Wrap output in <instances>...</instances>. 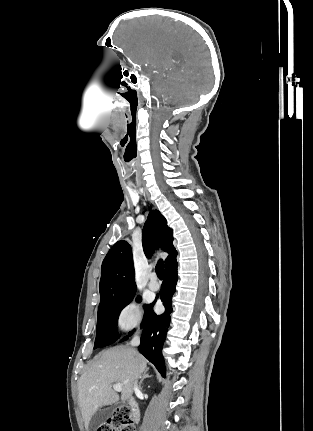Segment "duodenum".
I'll use <instances>...</instances> for the list:
<instances>
[{
  "label": "duodenum",
  "mask_w": 313,
  "mask_h": 431,
  "mask_svg": "<svg viewBox=\"0 0 313 431\" xmlns=\"http://www.w3.org/2000/svg\"><path fill=\"white\" fill-rule=\"evenodd\" d=\"M130 406H131V408H132V410H133V413H134V416H135V418L137 419V417H138V409H137V405L135 404V402L134 401H130Z\"/></svg>",
  "instance_id": "410a0bca"
}]
</instances>
